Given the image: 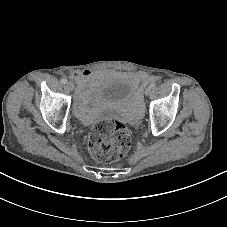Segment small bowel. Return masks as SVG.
<instances>
[{
    "label": "small bowel",
    "mask_w": 227,
    "mask_h": 227,
    "mask_svg": "<svg viewBox=\"0 0 227 227\" xmlns=\"http://www.w3.org/2000/svg\"><path fill=\"white\" fill-rule=\"evenodd\" d=\"M102 76H109L114 77L117 76V73L113 70H106L103 72L98 71H91V70H75L72 73V77L77 81L79 85V95L81 97L85 96L88 92V86L91 82ZM127 78L131 80L134 85H138L139 83L147 84L150 78L143 73H136V74H127L125 75Z\"/></svg>",
    "instance_id": "c3829d8e"
}]
</instances>
